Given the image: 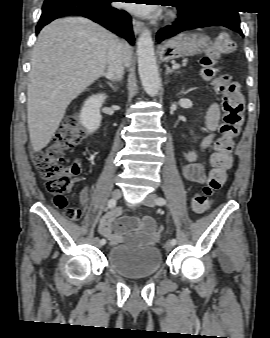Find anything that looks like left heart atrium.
<instances>
[{
	"label": "left heart atrium",
	"mask_w": 270,
	"mask_h": 338,
	"mask_svg": "<svg viewBox=\"0 0 270 338\" xmlns=\"http://www.w3.org/2000/svg\"><path fill=\"white\" fill-rule=\"evenodd\" d=\"M126 7L141 16H155L157 14L156 6L152 5H138L135 3H129Z\"/></svg>",
	"instance_id": "obj_1"
}]
</instances>
